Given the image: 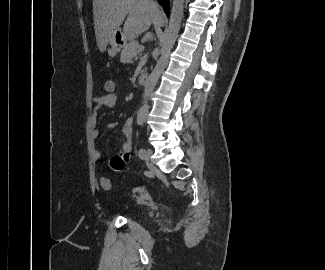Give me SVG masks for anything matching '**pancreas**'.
<instances>
[{
  "instance_id": "obj_1",
  "label": "pancreas",
  "mask_w": 325,
  "mask_h": 270,
  "mask_svg": "<svg viewBox=\"0 0 325 270\" xmlns=\"http://www.w3.org/2000/svg\"><path fill=\"white\" fill-rule=\"evenodd\" d=\"M139 44L136 41H130L124 45L121 52L120 61L122 63H129L137 55Z\"/></svg>"
}]
</instances>
